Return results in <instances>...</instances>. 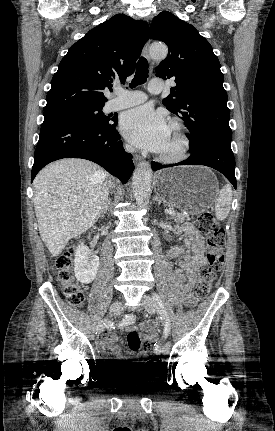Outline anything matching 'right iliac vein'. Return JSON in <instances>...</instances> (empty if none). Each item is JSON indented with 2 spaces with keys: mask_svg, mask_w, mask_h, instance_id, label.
Wrapping results in <instances>:
<instances>
[{
  "mask_svg": "<svg viewBox=\"0 0 275 431\" xmlns=\"http://www.w3.org/2000/svg\"><path fill=\"white\" fill-rule=\"evenodd\" d=\"M123 311V305L121 302L114 303L110 309H109V316H115L117 314H120ZM105 327L104 321H100L97 325V331L100 333L103 331Z\"/></svg>",
  "mask_w": 275,
  "mask_h": 431,
  "instance_id": "63e3f726",
  "label": "right iliac vein"
}]
</instances>
